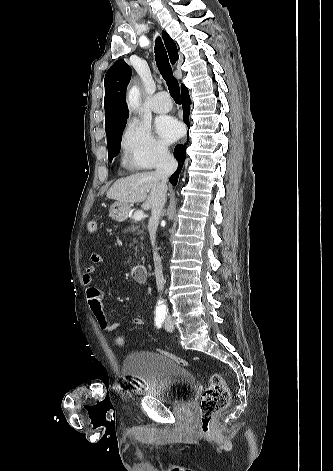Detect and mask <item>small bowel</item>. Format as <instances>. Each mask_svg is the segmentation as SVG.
<instances>
[{"mask_svg": "<svg viewBox=\"0 0 333 471\" xmlns=\"http://www.w3.org/2000/svg\"><path fill=\"white\" fill-rule=\"evenodd\" d=\"M103 258L98 253H91L89 263L86 265L82 281L85 286L86 300L90 312L95 318L99 328L103 332H114L118 327L119 323H111L104 312L103 308V292L93 284V278L96 271V266L102 263ZM133 325H142L143 319L141 317H134L131 320Z\"/></svg>", "mask_w": 333, "mask_h": 471, "instance_id": "c3829d8e", "label": "small bowel"}]
</instances>
